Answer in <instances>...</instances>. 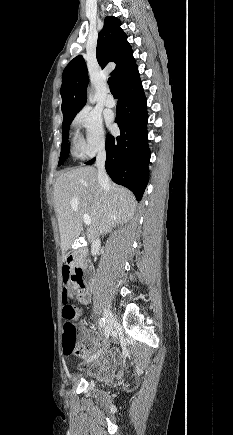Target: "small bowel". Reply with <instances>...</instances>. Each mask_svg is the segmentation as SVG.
Segmentation results:
<instances>
[{
  "instance_id": "1",
  "label": "small bowel",
  "mask_w": 233,
  "mask_h": 435,
  "mask_svg": "<svg viewBox=\"0 0 233 435\" xmlns=\"http://www.w3.org/2000/svg\"><path fill=\"white\" fill-rule=\"evenodd\" d=\"M65 268V267H64ZM64 270V269H63ZM63 298H70L71 292L69 287H64L62 290ZM79 329V347L81 348L82 357H86L91 354L98 346L95 339V332H93L84 321H80L78 324ZM119 360L118 355L113 351L107 353L103 359L95 361L92 365L95 372L101 377L106 378L113 372V365ZM91 365H89L90 367Z\"/></svg>"
}]
</instances>
